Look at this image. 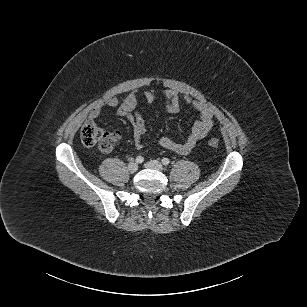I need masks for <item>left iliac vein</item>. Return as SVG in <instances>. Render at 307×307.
I'll list each match as a JSON object with an SVG mask.
<instances>
[{"label": "left iliac vein", "mask_w": 307, "mask_h": 307, "mask_svg": "<svg viewBox=\"0 0 307 307\" xmlns=\"http://www.w3.org/2000/svg\"><path fill=\"white\" fill-rule=\"evenodd\" d=\"M145 167L149 168V169H155V170H158V171H163V169H164L163 165L157 160L148 161L145 164Z\"/></svg>", "instance_id": "4c4485c4"}]
</instances>
